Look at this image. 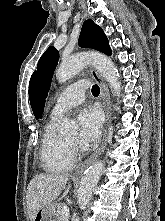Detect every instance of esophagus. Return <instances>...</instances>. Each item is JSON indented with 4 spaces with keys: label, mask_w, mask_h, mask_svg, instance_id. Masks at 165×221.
<instances>
[{
    "label": "esophagus",
    "mask_w": 165,
    "mask_h": 221,
    "mask_svg": "<svg viewBox=\"0 0 165 221\" xmlns=\"http://www.w3.org/2000/svg\"><path fill=\"white\" fill-rule=\"evenodd\" d=\"M90 73H91L93 79L100 86V93H101L103 109H104L105 116H106V122H105V129H104L103 139H102L100 147L88 160H86L84 162V164L78 170V172H77L78 174L82 173L83 170L86 167H88L93 161H95L101 155V153L104 151V149L106 147V141H107V136H108V128H109L110 119H111V104H110V95H109L108 87H107L104 79L101 77V75L97 72V70L95 68H91Z\"/></svg>",
    "instance_id": "esophagus-1"
}]
</instances>
